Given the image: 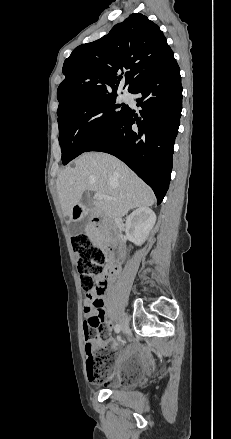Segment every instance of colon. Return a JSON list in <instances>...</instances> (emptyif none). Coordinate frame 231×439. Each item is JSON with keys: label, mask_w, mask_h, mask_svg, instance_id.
I'll return each instance as SVG.
<instances>
[{"label": "colon", "mask_w": 231, "mask_h": 439, "mask_svg": "<svg viewBox=\"0 0 231 439\" xmlns=\"http://www.w3.org/2000/svg\"><path fill=\"white\" fill-rule=\"evenodd\" d=\"M72 246L77 257V268L81 279L82 289L87 292L103 293L108 285V268L103 250L93 245L86 234H77L71 238ZM95 308H101V303L94 302ZM87 358L86 364L90 378L95 382L109 380L110 371L115 358V344L106 338V332L94 321L85 329ZM101 343V346L98 344ZM118 381L117 377L110 379V385Z\"/></svg>", "instance_id": "colon-1"}]
</instances>
